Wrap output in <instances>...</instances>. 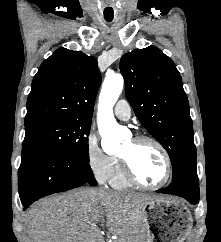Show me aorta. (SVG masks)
<instances>
[{
    "instance_id": "obj_1",
    "label": "aorta",
    "mask_w": 221,
    "mask_h": 242,
    "mask_svg": "<svg viewBox=\"0 0 221 242\" xmlns=\"http://www.w3.org/2000/svg\"><path fill=\"white\" fill-rule=\"evenodd\" d=\"M123 86L124 79L121 74L106 75L99 96L98 128L102 137V147L107 153L118 151L123 140V129L113 115V107Z\"/></svg>"
}]
</instances>
